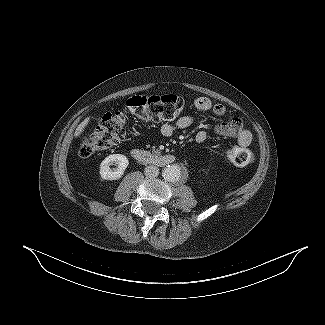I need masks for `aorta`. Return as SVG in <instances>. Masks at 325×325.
<instances>
[{
    "instance_id": "1",
    "label": "aorta",
    "mask_w": 325,
    "mask_h": 325,
    "mask_svg": "<svg viewBox=\"0 0 325 325\" xmlns=\"http://www.w3.org/2000/svg\"><path fill=\"white\" fill-rule=\"evenodd\" d=\"M162 175L169 182H178L181 180L182 171L178 165H169L163 169Z\"/></svg>"
}]
</instances>
